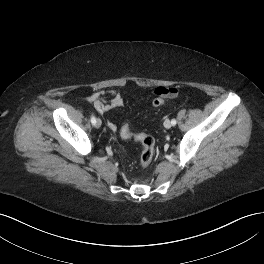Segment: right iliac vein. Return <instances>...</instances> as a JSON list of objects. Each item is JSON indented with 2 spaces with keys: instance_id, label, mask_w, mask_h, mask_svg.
Listing matches in <instances>:
<instances>
[{
  "instance_id": "63e3f726",
  "label": "right iliac vein",
  "mask_w": 264,
  "mask_h": 264,
  "mask_svg": "<svg viewBox=\"0 0 264 264\" xmlns=\"http://www.w3.org/2000/svg\"><path fill=\"white\" fill-rule=\"evenodd\" d=\"M101 124H102L101 120L99 118H97L95 126L97 128H99V127H101Z\"/></svg>"
}]
</instances>
